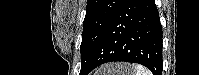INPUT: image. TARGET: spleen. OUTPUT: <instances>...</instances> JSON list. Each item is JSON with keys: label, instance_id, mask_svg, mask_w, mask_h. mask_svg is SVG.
I'll list each match as a JSON object with an SVG mask.
<instances>
[{"label": "spleen", "instance_id": "1", "mask_svg": "<svg viewBox=\"0 0 199 75\" xmlns=\"http://www.w3.org/2000/svg\"><path fill=\"white\" fill-rule=\"evenodd\" d=\"M134 68L136 70L135 75H152L150 70L144 68L141 65H135Z\"/></svg>", "mask_w": 199, "mask_h": 75}]
</instances>
